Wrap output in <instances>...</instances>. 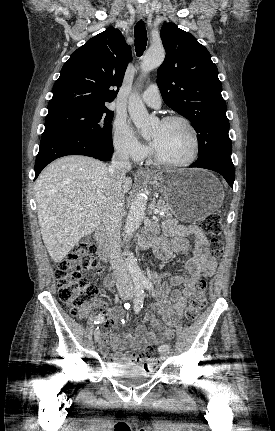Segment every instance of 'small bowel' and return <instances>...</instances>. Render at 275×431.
Here are the masks:
<instances>
[{"instance_id":"1","label":"small bowel","mask_w":275,"mask_h":431,"mask_svg":"<svg viewBox=\"0 0 275 431\" xmlns=\"http://www.w3.org/2000/svg\"><path fill=\"white\" fill-rule=\"evenodd\" d=\"M164 232L171 240L158 237L154 240V251L158 258L167 260L174 253L184 252L189 248L190 239L194 241V255L186 262L187 273L171 278L173 286H181L171 293V300L161 299L152 311L146 313L144 321L134 335H117L114 330L122 321L123 311L114 307L108 311L109 319L105 324L99 347L102 354L111 361L137 362L141 353L147 348H153L173 337L176 321L181 317L187 298L195 293L196 284L202 276H211L217 266L216 258L208 254L209 242L204 233L194 225H181L169 219L163 225ZM106 286L111 290L113 280L105 279ZM163 295L167 294L164 290ZM110 346L113 352L110 351Z\"/></svg>"}]
</instances>
